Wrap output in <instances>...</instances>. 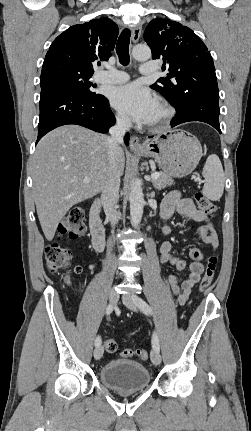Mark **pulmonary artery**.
Listing matches in <instances>:
<instances>
[{
	"mask_svg": "<svg viewBox=\"0 0 251 431\" xmlns=\"http://www.w3.org/2000/svg\"><path fill=\"white\" fill-rule=\"evenodd\" d=\"M157 69V63L149 61L141 65L140 73L143 75H150L156 72ZM128 79L129 76L127 73L114 69H110L109 71H103L97 76V81L107 84H120L126 82Z\"/></svg>",
	"mask_w": 251,
	"mask_h": 431,
	"instance_id": "pulmonary-artery-1",
	"label": "pulmonary artery"
}]
</instances>
